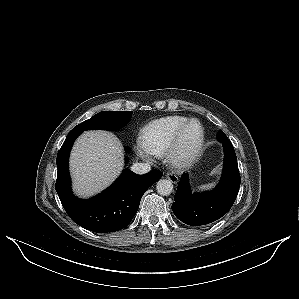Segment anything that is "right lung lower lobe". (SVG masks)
Masks as SVG:
<instances>
[{
    "label": "right lung lower lobe",
    "instance_id": "98d812e1",
    "mask_svg": "<svg viewBox=\"0 0 299 299\" xmlns=\"http://www.w3.org/2000/svg\"><path fill=\"white\" fill-rule=\"evenodd\" d=\"M81 133L71 130L58 152L56 192L69 217L81 227L97 233L121 230L133 219L143 194L163 173L153 170L138 175L125 169L101 194L88 200L79 199L71 191L68 160L73 142Z\"/></svg>",
    "mask_w": 299,
    "mask_h": 299
}]
</instances>
